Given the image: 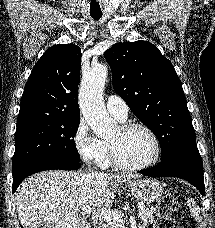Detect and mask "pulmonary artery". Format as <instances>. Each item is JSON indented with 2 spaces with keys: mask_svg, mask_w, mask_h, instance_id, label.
<instances>
[{
  "mask_svg": "<svg viewBox=\"0 0 215 228\" xmlns=\"http://www.w3.org/2000/svg\"><path fill=\"white\" fill-rule=\"evenodd\" d=\"M108 112L120 121H125L128 116V107L125 101L117 96H109L106 101Z\"/></svg>",
  "mask_w": 215,
  "mask_h": 228,
  "instance_id": "pulmonary-artery-1",
  "label": "pulmonary artery"
}]
</instances>
